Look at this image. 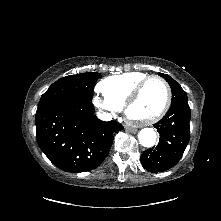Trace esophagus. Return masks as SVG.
<instances>
[{
  "mask_svg": "<svg viewBox=\"0 0 221 221\" xmlns=\"http://www.w3.org/2000/svg\"><path fill=\"white\" fill-rule=\"evenodd\" d=\"M125 130L130 133H136V131H137L135 128H131V127H127V126L125 127Z\"/></svg>",
  "mask_w": 221,
  "mask_h": 221,
  "instance_id": "34e87169",
  "label": "esophagus"
}]
</instances>
